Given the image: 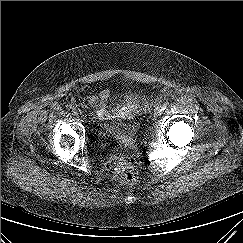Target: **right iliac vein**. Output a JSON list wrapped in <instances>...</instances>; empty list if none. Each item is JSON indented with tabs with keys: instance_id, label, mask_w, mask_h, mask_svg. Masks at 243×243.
<instances>
[{
	"instance_id": "63e3f726",
	"label": "right iliac vein",
	"mask_w": 243,
	"mask_h": 243,
	"mask_svg": "<svg viewBox=\"0 0 243 243\" xmlns=\"http://www.w3.org/2000/svg\"><path fill=\"white\" fill-rule=\"evenodd\" d=\"M81 119H83V120H85L86 119V116L85 115H83V114H81Z\"/></svg>"
}]
</instances>
